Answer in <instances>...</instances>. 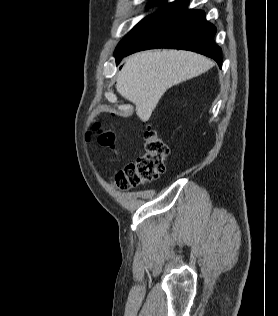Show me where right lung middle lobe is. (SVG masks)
I'll use <instances>...</instances> for the list:
<instances>
[{
    "label": "right lung middle lobe",
    "instance_id": "right-lung-middle-lobe-1",
    "mask_svg": "<svg viewBox=\"0 0 278 316\" xmlns=\"http://www.w3.org/2000/svg\"><path fill=\"white\" fill-rule=\"evenodd\" d=\"M160 4L159 10L153 14L148 15L142 19L118 44L115 55H119L125 50L129 49L146 31L147 29L157 20L159 15L168 5L166 2L161 0H152L148 3L147 7H153Z\"/></svg>",
    "mask_w": 278,
    "mask_h": 316
}]
</instances>
